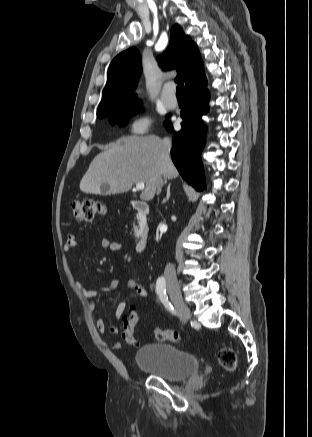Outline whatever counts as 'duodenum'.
Returning <instances> with one entry per match:
<instances>
[{
  "label": "duodenum",
  "mask_w": 312,
  "mask_h": 437,
  "mask_svg": "<svg viewBox=\"0 0 312 437\" xmlns=\"http://www.w3.org/2000/svg\"><path fill=\"white\" fill-rule=\"evenodd\" d=\"M132 207L134 211L136 212L137 221L139 224H142V222L146 219L148 213H149V206L146 202L141 200H133L132 201ZM148 244V238L144 233H141L138 237L135 249L138 253H142L146 250Z\"/></svg>",
  "instance_id": "obj_1"
}]
</instances>
